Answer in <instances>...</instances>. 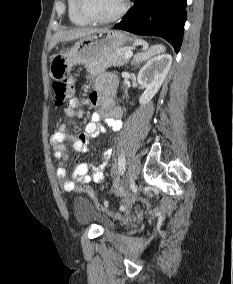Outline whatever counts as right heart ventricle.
Masks as SVG:
<instances>
[{
	"mask_svg": "<svg viewBox=\"0 0 233 284\" xmlns=\"http://www.w3.org/2000/svg\"><path fill=\"white\" fill-rule=\"evenodd\" d=\"M68 18L73 25L86 26L90 22L87 21L78 10V0H67Z\"/></svg>",
	"mask_w": 233,
	"mask_h": 284,
	"instance_id": "1",
	"label": "right heart ventricle"
}]
</instances>
